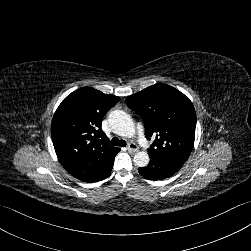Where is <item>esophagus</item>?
Returning <instances> with one entry per match:
<instances>
[{"label":"esophagus","instance_id":"34e87169","mask_svg":"<svg viewBox=\"0 0 251 251\" xmlns=\"http://www.w3.org/2000/svg\"><path fill=\"white\" fill-rule=\"evenodd\" d=\"M127 150L130 152V153H135L138 151V146L135 144V143H129L127 145Z\"/></svg>","mask_w":251,"mask_h":251}]
</instances>
